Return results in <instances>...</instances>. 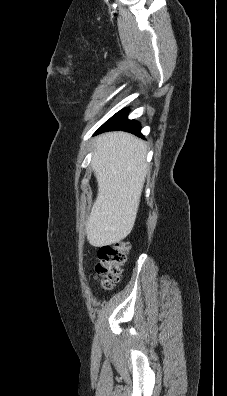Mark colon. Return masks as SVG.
I'll use <instances>...</instances> for the list:
<instances>
[{
  "label": "colon",
  "mask_w": 227,
  "mask_h": 396,
  "mask_svg": "<svg viewBox=\"0 0 227 396\" xmlns=\"http://www.w3.org/2000/svg\"><path fill=\"white\" fill-rule=\"evenodd\" d=\"M129 249L130 245L127 242H119L99 249L96 274L104 288L109 289L120 280L122 265L126 261Z\"/></svg>",
  "instance_id": "colon-1"
}]
</instances>
